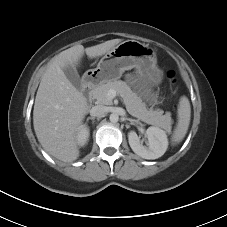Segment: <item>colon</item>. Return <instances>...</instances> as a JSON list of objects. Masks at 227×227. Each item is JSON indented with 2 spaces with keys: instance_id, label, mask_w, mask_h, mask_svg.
<instances>
[{
  "instance_id": "obj_1",
  "label": "colon",
  "mask_w": 227,
  "mask_h": 227,
  "mask_svg": "<svg viewBox=\"0 0 227 227\" xmlns=\"http://www.w3.org/2000/svg\"><path fill=\"white\" fill-rule=\"evenodd\" d=\"M167 77L170 81L175 82V72L174 71H168Z\"/></svg>"
}]
</instances>
